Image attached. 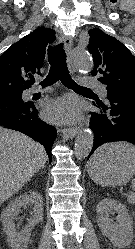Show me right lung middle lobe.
Here are the masks:
<instances>
[{
  "instance_id": "1",
  "label": "right lung middle lobe",
  "mask_w": 135,
  "mask_h": 249,
  "mask_svg": "<svg viewBox=\"0 0 135 249\" xmlns=\"http://www.w3.org/2000/svg\"><path fill=\"white\" fill-rule=\"evenodd\" d=\"M0 94H7V95H11L13 97L16 98H22V92H7V93H0Z\"/></svg>"
}]
</instances>
